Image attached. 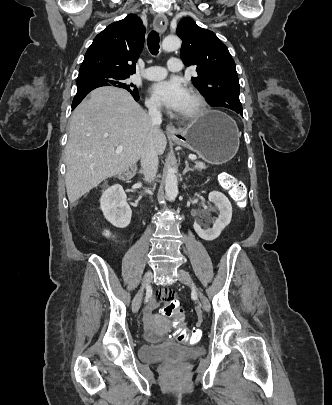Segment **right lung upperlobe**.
Returning a JSON list of instances; mask_svg holds the SVG:
<instances>
[{
  "instance_id": "1",
  "label": "right lung upper lobe",
  "mask_w": 332,
  "mask_h": 405,
  "mask_svg": "<svg viewBox=\"0 0 332 405\" xmlns=\"http://www.w3.org/2000/svg\"><path fill=\"white\" fill-rule=\"evenodd\" d=\"M145 27L135 14L110 24L88 48L79 74L110 72L132 75L143 49Z\"/></svg>"
}]
</instances>
